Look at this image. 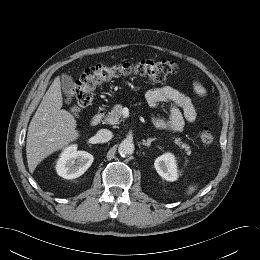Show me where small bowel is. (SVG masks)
I'll return each mask as SVG.
<instances>
[{
  "label": "small bowel",
  "instance_id": "c3829d8e",
  "mask_svg": "<svg viewBox=\"0 0 260 260\" xmlns=\"http://www.w3.org/2000/svg\"><path fill=\"white\" fill-rule=\"evenodd\" d=\"M192 88L198 97L204 98L206 96V89L200 82L194 81ZM146 100L152 107H158L164 103L170 104L169 120H155L154 126L156 128L179 132L185 122L193 123L196 120V111L191 99L174 87L160 86L153 88L146 93Z\"/></svg>",
  "mask_w": 260,
  "mask_h": 260
}]
</instances>
